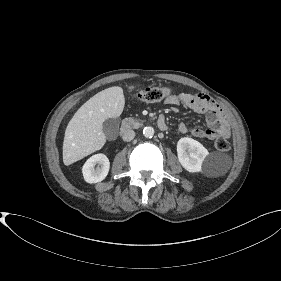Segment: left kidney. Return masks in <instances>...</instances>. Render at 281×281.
I'll return each mask as SVG.
<instances>
[{
    "instance_id": "1",
    "label": "left kidney",
    "mask_w": 281,
    "mask_h": 281,
    "mask_svg": "<svg viewBox=\"0 0 281 281\" xmlns=\"http://www.w3.org/2000/svg\"><path fill=\"white\" fill-rule=\"evenodd\" d=\"M208 154V150L192 138L183 137L177 143L178 160L190 173L201 172L202 164Z\"/></svg>"
}]
</instances>
